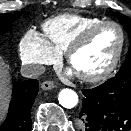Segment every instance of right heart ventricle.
Listing matches in <instances>:
<instances>
[{
  "label": "right heart ventricle",
  "instance_id": "e07e8e85",
  "mask_svg": "<svg viewBox=\"0 0 131 131\" xmlns=\"http://www.w3.org/2000/svg\"><path fill=\"white\" fill-rule=\"evenodd\" d=\"M103 21L100 18L80 14H61L46 20L43 33L48 43L58 52L64 53L73 40L89 26Z\"/></svg>",
  "mask_w": 131,
  "mask_h": 131
}]
</instances>
